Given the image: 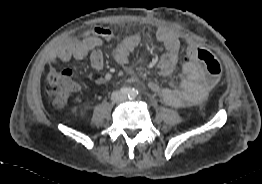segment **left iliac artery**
Listing matches in <instances>:
<instances>
[{
    "mask_svg": "<svg viewBox=\"0 0 262 184\" xmlns=\"http://www.w3.org/2000/svg\"><path fill=\"white\" fill-rule=\"evenodd\" d=\"M139 91L137 89H133V92L130 94L129 98L134 99L138 95Z\"/></svg>",
    "mask_w": 262,
    "mask_h": 184,
    "instance_id": "obj_1",
    "label": "left iliac artery"
}]
</instances>
